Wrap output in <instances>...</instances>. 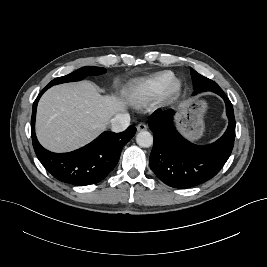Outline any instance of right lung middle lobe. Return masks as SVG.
Returning <instances> with one entry per match:
<instances>
[{"instance_id": "1", "label": "right lung middle lobe", "mask_w": 267, "mask_h": 267, "mask_svg": "<svg viewBox=\"0 0 267 267\" xmlns=\"http://www.w3.org/2000/svg\"><path fill=\"white\" fill-rule=\"evenodd\" d=\"M105 72L106 69L102 67H92V66L82 67L66 76L55 78L47 86L51 87L53 85H57L60 83L79 81L85 78L86 76L100 75Z\"/></svg>"}]
</instances>
